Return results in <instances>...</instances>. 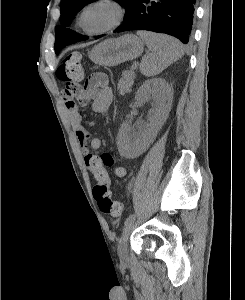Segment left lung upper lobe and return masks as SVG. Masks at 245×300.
<instances>
[{
    "mask_svg": "<svg viewBox=\"0 0 245 300\" xmlns=\"http://www.w3.org/2000/svg\"><path fill=\"white\" fill-rule=\"evenodd\" d=\"M97 0H61L60 3V23L61 25L55 28V52L59 54L60 50L66 45L77 41L86 40L88 37L76 33L67 28L71 23L72 18L88 3ZM120 5L124 6L126 15L124 21L131 15L134 0H114Z\"/></svg>",
    "mask_w": 245,
    "mask_h": 300,
    "instance_id": "1",
    "label": "left lung upper lobe"
}]
</instances>
